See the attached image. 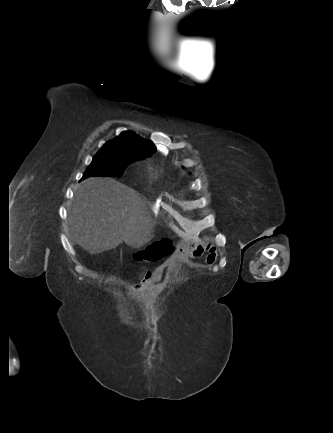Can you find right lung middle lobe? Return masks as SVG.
I'll use <instances>...</instances> for the list:
<instances>
[{
	"label": "right lung middle lobe",
	"instance_id": "1",
	"mask_svg": "<svg viewBox=\"0 0 333 433\" xmlns=\"http://www.w3.org/2000/svg\"><path fill=\"white\" fill-rule=\"evenodd\" d=\"M137 158L131 155H118L99 150L91 164L83 174V178L90 176H117L120 177L126 166L136 161Z\"/></svg>",
	"mask_w": 333,
	"mask_h": 433
}]
</instances>
